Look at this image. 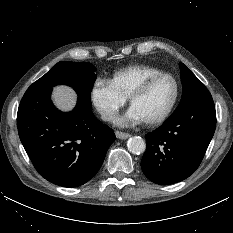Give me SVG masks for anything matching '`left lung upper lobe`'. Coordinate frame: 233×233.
<instances>
[{
	"mask_svg": "<svg viewBox=\"0 0 233 233\" xmlns=\"http://www.w3.org/2000/svg\"><path fill=\"white\" fill-rule=\"evenodd\" d=\"M180 69L182 97L172 115L178 114L197 103L212 100L211 94L204 84L183 63H180Z\"/></svg>",
	"mask_w": 233,
	"mask_h": 233,
	"instance_id": "left-lung-upper-lobe-1",
	"label": "left lung upper lobe"
}]
</instances>
